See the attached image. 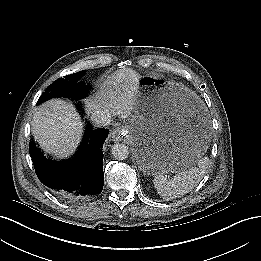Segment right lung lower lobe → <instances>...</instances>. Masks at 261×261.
Listing matches in <instances>:
<instances>
[{
	"label": "right lung lower lobe",
	"mask_w": 261,
	"mask_h": 261,
	"mask_svg": "<svg viewBox=\"0 0 261 261\" xmlns=\"http://www.w3.org/2000/svg\"><path fill=\"white\" fill-rule=\"evenodd\" d=\"M108 129L88 128L77 152L69 159H46L34 142L29 153L39 180L62 199L77 202L101 193L104 184L103 144Z\"/></svg>",
	"instance_id": "1"
}]
</instances>
